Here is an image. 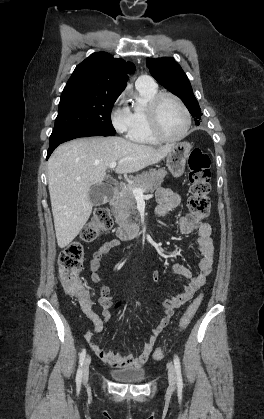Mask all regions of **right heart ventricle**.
Segmentation results:
<instances>
[{
  "label": "right heart ventricle",
  "instance_id": "1",
  "mask_svg": "<svg viewBox=\"0 0 264 419\" xmlns=\"http://www.w3.org/2000/svg\"><path fill=\"white\" fill-rule=\"evenodd\" d=\"M137 100L128 109L131 124L128 131L130 140L141 144H156L158 140L152 135L149 125L147 106L150 99L159 92L156 84L137 85Z\"/></svg>",
  "mask_w": 264,
  "mask_h": 419
}]
</instances>
